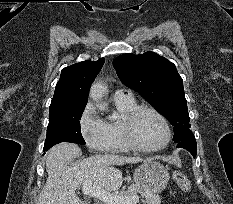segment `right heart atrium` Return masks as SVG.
<instances>
[{
    "label": "right heart atrium",
    "mask_w": 233,
    "mask_h": 204,
    "mask_svg": "<svg viewBox=\"0 0 233 204\" xmlns=\"http://www.w3.org/2000/svg\"><path fill=\"white\" fill-rule=\"evenodd\" d=\"M79 127L82 138L90 150L102 152L108 149L104 120L97 115L90 102L86 104L81 113Z\"/></svg>",
    "instance_id": "obj_1"
}]
</instances>
